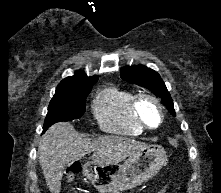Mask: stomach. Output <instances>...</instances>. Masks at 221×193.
<instances>
[{
	"instance_id": "stomach-1",
	"label": "stomach",
	"mask_w": 221,
	"mask_h": 193,
	"mask_svg": "<svg viewBox=\"0 0 221 193\" xmlns=\"http://www.w3.org/2000/svg\"><path fill=\"white\" fill-rule=\"evenodd\" d=\"M166 151L158 145L145 146L123 165H83V174L100 193H120L155 176L166 161Z\"/></svg>"
}]
</instances>
